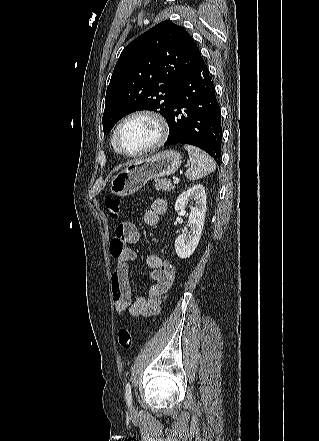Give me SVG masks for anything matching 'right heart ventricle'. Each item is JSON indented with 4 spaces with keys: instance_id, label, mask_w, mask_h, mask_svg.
<instances>
[{
    "instance_id": "right-heart-ventricle-1",
    "label": "right heart ventricle",
    "mask_w": 319,
    "mask_h": 441,
    "mask_svg": "<svg viewBox=\"0 0 319 441\" xmlns=\"http://www.w3.org/2000/svg\"><path fill=\"white\" fill-rule=\"evenodd\" d=\"M112 144H113V147H114L113 139H112ZM114 148H115V147H114Z\"/></svg>"
}]
</instances>
